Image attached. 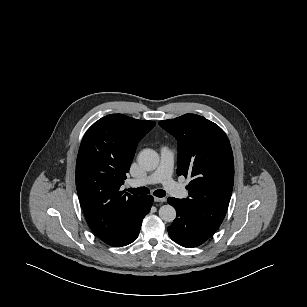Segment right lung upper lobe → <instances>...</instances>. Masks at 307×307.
<instances>
[{
  "instance_id": "1",
  "label": "right lung upper lobe",
  "mask_w": 307,
  "mask_h": 307,
  "mask_svg": "<svg viewBox=\"0 0 307 307\" xmlns=\"http://www.w3.org/2000/svg\"><path fill=\"white\" fill-rule=\"evenodd\" d=\"M155 122L107 115L85 133L77 156L76 188L87 223L103 242L118 246L132 233L144 196L120 190L137 143Z\"/></svg>"
}]
</instances>
